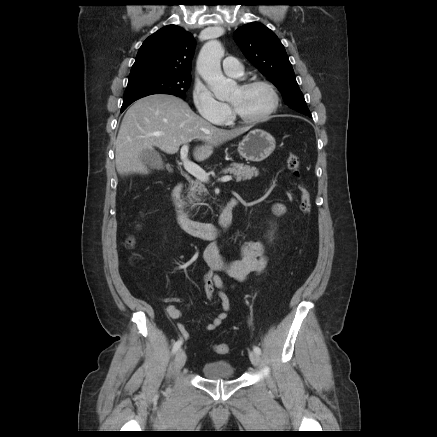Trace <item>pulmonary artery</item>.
<instances>
[{
	"label": "pulmonary artery",
	"instance_id": "pulmonary-artery-1",
	"mask_svg": "<svg viewBox=\"0 0 437 437\" xmlns=\"http://www.w3.org/2000/svg\"><path fill=\"white\" fill-rule=\"evenodd\" d=\"M222 69L226 75L231 77H239L243 74L241 63L232 56L226 57L223 60Z\"/></svg>",
	"mask_w": 437,
	"mask_h": 437
}]
</instances>
